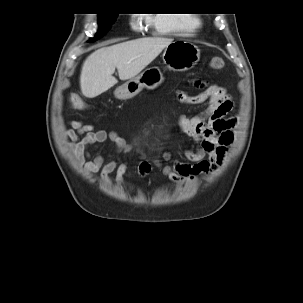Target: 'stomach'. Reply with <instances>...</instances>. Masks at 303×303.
<instances>
[{"mask_svg":"<svg viewBox=\"0 0 303 303\" xmlns=\"http://www.w3.org/2000/svg\"><path fill=\"white\" fill-rule=\"evenodd\" d=\"M162 59L171 70L187 71L193 68L199 61L200 49L188 41H172L165 47ZM163 81L164 76L161 70L157 67H151L119 86L114 94L118 99H130L144 88L155 89Z\"/></svg>","mask_w":303,"mask_h":303,"instance_id":"obj_1","label":"stomach"}]
</instances>
